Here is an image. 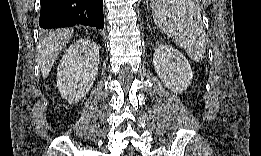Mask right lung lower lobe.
I'll list each match as a JSON object with an SVG mask.
<instances>
[{"mask_svg": "<svg viewBox=\"0 0 261 156\" xmlns=\"http://www.w3.org/2000/svg\"><path fill=\"white\" fill-rule=\"evenodd\" d=\"M104 28L103 0H41L42 29L74 25Z\"/></svg>", "mask_w": 261, "mask_h": 156, "instance_id": "98d812e1", "label": "right lung lower lobe"}]
</instances>
